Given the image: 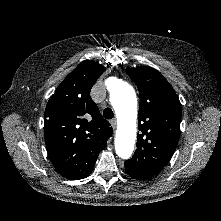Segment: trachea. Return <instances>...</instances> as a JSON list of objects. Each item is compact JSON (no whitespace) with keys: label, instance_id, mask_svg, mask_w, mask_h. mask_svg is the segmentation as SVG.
<instances>
[{"label":"trachea","instance_id":"obj_1","mask_svg":"<svg viewBox=\"0 0 221 221\" xmlns=\"http://www.w3.org/2000/svg\"><path fill=\"white\" fill-rule=\"evenodd\" d=\"M114 116V113L112 111L111 108H105L104 111H103V117L105 119H112Z\"/></svg>","mask_w":221,"mask_h":221}]
</instances>
